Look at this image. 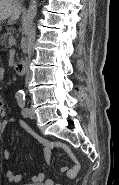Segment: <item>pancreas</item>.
Listing matches in <instances>:
<instances>
[{
  "label": "pancreas",
  "instance_id": "1",
  "mask_svg": "<svg viewBox=\"0 0 119 185\" xmlns=\"http://www.w3.org/2000/svg\"><path fill=\"white\" fill-rule=\"evenodd\" d=\"M11 36H12V33L9 31L7 33L2 34L1 43L6 44L8 37H11Z\"/></svg>",
  "mask_w": 119,
  "mask_h": 185
}]
</instances>
